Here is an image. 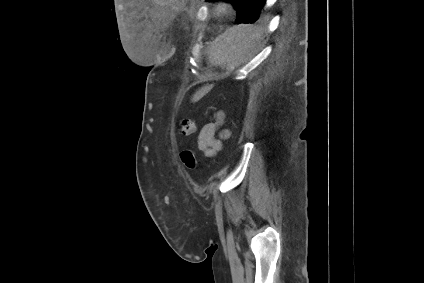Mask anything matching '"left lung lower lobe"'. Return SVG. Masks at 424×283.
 Wrapping results in <instances>:
<instances>
[{
	"label": "left lung lower lobe",
	"mask_w": 424,
	"mask_h": 283,
	"mask_svg": "<svg viewBox=\"0 0 424 283\" xmlns=\"http://www.w3.org/2000/svg\"><path fill=\"white\" fill-rule=\"evenodd\" d=\"M265 3V2H264ZM263 6H264V4H263ZM263 6H262V12H264L265 10H264V8H263Z\"/></svg>",
	"instance_id": "0a47b994"
}]
</instances>
